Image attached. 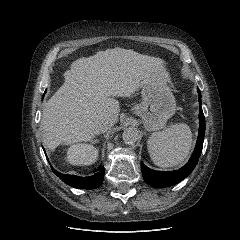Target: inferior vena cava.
Masks as SVG:
<instances>
[{
	"instance_id": "obj_1",
	"label": "inferior vena cava",
	"mask_w": 240,
	"mask_h": 240,
	"mask_svg": "<svg viewBox=\"0 0 240 240\" xmlns=\"http://www.w3.org/2000/svg\"><path fill=\"white\" fill-rule=\"evenodd\" d=\"M108 128H109V122L107 117H105L103 120L99 122L98 127L96 129V133L100 134V133L106 132Z\"/></svg>"
}]
</instances>
